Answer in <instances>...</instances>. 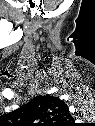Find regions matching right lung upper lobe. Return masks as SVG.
Masks as SVG:
<instances>
[{"mask_svg":"<svg viewBox=\"0 0 95 126\" xmlns=\"http://www.w3.org/2000/svg\"><path fill=\"white\" fill-rule=\"evenodd\" d=\"M15 125L70 126L74 121L67 105L56 96L40 95L7 114Z\"/></svg>","mask_w":95,"mask_h":126,"instance_id":"1","label":"right lung upper lobe"}]
</instances>
